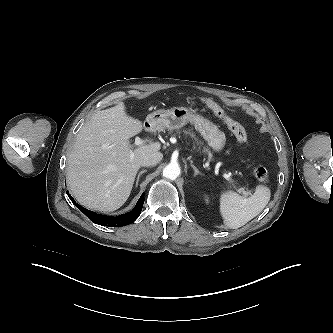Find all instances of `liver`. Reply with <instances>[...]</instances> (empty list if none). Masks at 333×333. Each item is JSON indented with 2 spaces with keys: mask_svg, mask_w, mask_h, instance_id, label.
I'll list each match as a JSON object with an SVG mask.
<instances>
[{
  "mask_svg": "<svg viewBox=\"0 0 333 333\" xmlns=\"http://www.w3.org/2000/svg\"><path fill=\"white\" fill-rule=\"evenodd\" d=\"M143 130L124 104L97 111L76 135L67 159V182L75 199L98 211H115L128 199L144 155L160 143L134 149L129 139Z\"/></svg>",
  "mask_w": 333,
  "mask_h": 333,
  "instance_id": "6515ba94",
  "label": "liver"
}]
</instances>
